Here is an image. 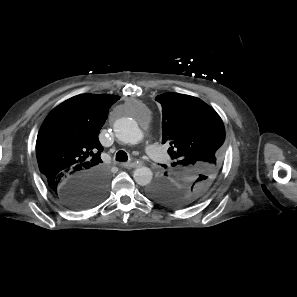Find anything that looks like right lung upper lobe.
<instances>
[{
  "label": "right lung upper lobe",
  "mask_w": 297,
  "mask_h": 297,
  "mask_svg": "<svg viewBox=\"0 0 297 297\" xmlns=\"http://www.w3.org/2000/svg\"><path fill=\"white\" fill-rule=\"evenodd\" d=\"M120 97L83 94L61 103L44 120L36 141L39 169L53 194L75 177L106 172L98 140L109 108Z\"/></svg>",
  "instance_id": "cb5924a9"
}]
</instances>
